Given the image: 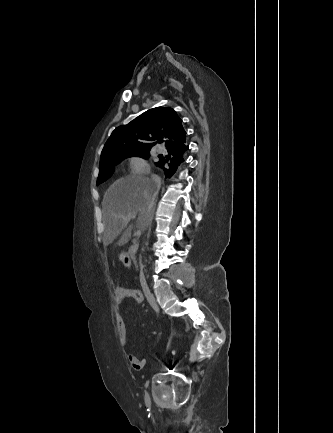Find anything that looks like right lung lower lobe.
Instances as JSON below:
<instances>
[{"label":"right lung lower lobe","mask_w":333,"mask_h":433,"mask_svg":"<svg viewBox=\"0 0 333 433\" xmlns=\"http://www.w3.org/2000/svg\"><path fill=\"white\" fill-rule=\"evenodd\" d=\"M188 148V145H183L176 149L169 150L171 159L165 160L164 158H160V160L156 163L166 177L170 178L176 172L178 166L184 162V153L188 150Z\"/></svg>","instance_id":"right-lung-lower-lobe-1"}]
</instances>
